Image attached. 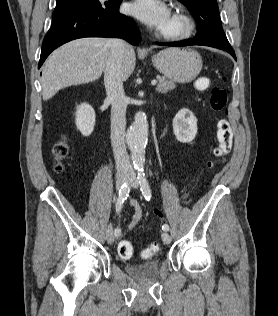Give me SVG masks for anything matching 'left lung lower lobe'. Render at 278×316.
I'll use <instances>...</instances> for the list:
<instances>
[{
  "label": "left lung lower lobe",
  "mask_w": 278,
  "mask_h": 316,
  "mask_svg": "<svg viewBox=\"0 0 278 316\" xmlns=\"http://www.w3.org/2000/svg\"><path fill=\"white\" fill-rule=\"evenodd\" d=\"M158 44L159 45H169V46L205 45V46L218 48V47H215V46H212V45H207L205 43H202V42H200V41H198L196 39H187V40L180 41V42L166 43V44L158 43ZM219 49H222V48H219ZM222 50H225V51L229 52L236 59L234 50H230V49H222Z\"/></svg>",
  "instance_id": "obj_1"
}]
</instances>
